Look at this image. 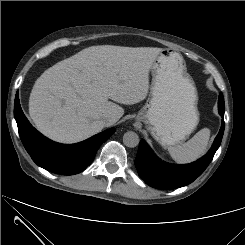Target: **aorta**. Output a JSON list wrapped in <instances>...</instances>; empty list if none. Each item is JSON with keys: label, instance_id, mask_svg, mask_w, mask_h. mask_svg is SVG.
Wrapping results in <instances>:
<instances>
[{"label": "aorta", "instance_id": "aorta-1", "mask_svg": "<svg viewBox=\"0 0 245 245\" xmlns=\"http://www.w3.org/2000/svg\"><path fill=\"white\" fill-rule=\"evenodd\" d=\"M123 143L125 146L134 148L139 144L138 134L133 131H128L123 135Z\"/></svg>", "mask_w": 245, "mask_h": 245}]
</instances>
